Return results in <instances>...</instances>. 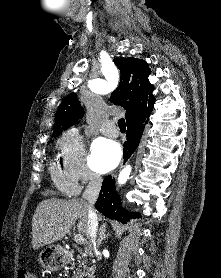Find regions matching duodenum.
<instances>
[{
	"instance_id": "1",
	"label": "duodenum",
	"mask_w": 221,
	"mask_h": 278,
	"mask_svg": "<svg viewBox=\"0 0 221 278\" xmlns=\"http://www.w3.org/2000/svg\"><path fill=\"white\" fill-rule=\"evenodd\" d=\"M69 254H68V256H72L73 255V253L72 252H70V251H67Z\"/></svg>"
}]
</instances>
